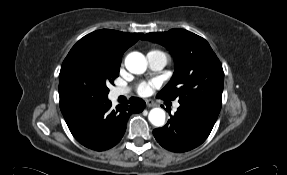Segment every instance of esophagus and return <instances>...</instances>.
Instances as JSON below:
<instances>
[{
	"label": "esophagus",
	"mask_w": 287,
	"mask_h": 175,
	"mask_svg": "<svg viewBox=\"0 0 287 175\" xmlns=\"http://www.w3.org/2000/svg\"><path fill=\"white\" fill-rule=\"evenodd\" d=\"M145 102H146V105L148 107H155L156 106V104L152 100H146Z\"/></svg>",
	"instance_id": "1"
}]
</instances>
